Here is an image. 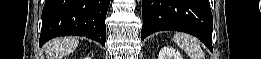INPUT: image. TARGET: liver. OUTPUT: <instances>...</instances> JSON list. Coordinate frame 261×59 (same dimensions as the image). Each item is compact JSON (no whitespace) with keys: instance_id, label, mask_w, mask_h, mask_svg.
Here are the masks:
<instances>
[{"instance_id":"1","label":"liver","mask_w":261,"mask_h":59,"mask_svg":"<svg viewBox=\"0 0 261 59\" xmlns=\"http://www.w3.org/2000/svg\"><path fill=\"white\" fill-rule=\"evenodd\" d=\"M79 44L77 38H59L46 45L47 59H61L73 52Z\"/></svg>"}]
</instances>
